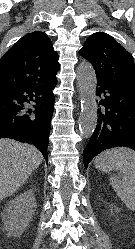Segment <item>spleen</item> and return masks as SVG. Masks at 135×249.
<instances>
[{
    "mask_svg": "<svg viewBox=\"0 0 135 249\" xmlns=\"http://www.w3.org/2000/svg\"><path fill=\"white\" fill-rule=\"evenodd\" d=\"M111 162L119 175L110 177V182L121 201L135 211V152L128 148H113L100 154L95 164Z\"/></svg>",
    "mask_w": 135,
    "mask_h": 249,
    "instance_id": "3e777b00",
    "label": "spleen"
}]
</instances>
